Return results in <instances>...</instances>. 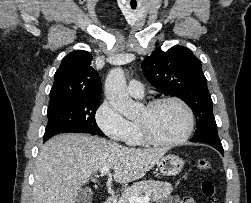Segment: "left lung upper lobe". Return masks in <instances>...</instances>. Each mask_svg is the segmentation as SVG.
<instances>
[{
	"label": "left lung upper lobe",
	"mask_w": 251,
	"mask_h": 203,
	"mask_svg": "<svg viewBox=\"0 0 251 203\" xmlns=\"http://www.w3.org/2000/svg\"><path fill=\"white\" fill-rule=\"evenodd\" d=\"M144 76L157 89L182 99L193 110L197 129L192 142L221 143L213 103L200 60L186 47L157 48L142 62Z\"/></svg>",
	"instance_id": "left-lung-upper-lobe-1"
}]
</instances>
